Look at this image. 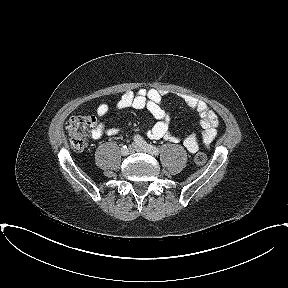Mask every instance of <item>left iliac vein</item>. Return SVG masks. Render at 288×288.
<instances>
[{"mask_svg":"<svg viewBox=\"0 0 288 288\" xmlns=\"http://www.w3.org/2000/svg\"><path fill=\"white\" fill-rule=\"evenodd\" d=\"M132 146L134 147V150H135V151H138V152H143V151H145L142 147H140V146H138V145H136V144H133Z\"/></svg>","mask_w":288,"mask_h":288,"instance_id":"1","label":"left iliac vein"}]
</instances>
